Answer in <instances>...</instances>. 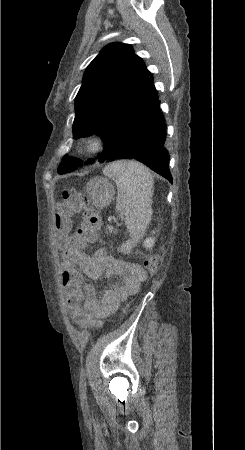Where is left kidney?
I'll return each mask as SVG.
<instances>
[{
	"mask_svg": "<svg viewBox=\"0 0 245 450\" xmlns=\"http://www.w3.org/2000/svg\"><path fill=\"white\" fill-rule=\"evenodd\" d=\"M152 234H155V231H152ZM155 244V238L154 237H148L145 239L143 246L146 249H151Z\"/></svg>",
	"mask_w": 245,
	"mask_h": 450,
	"instance_id": "1",
	"label": "left kidney"
}]
</instances>
